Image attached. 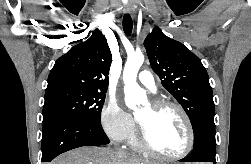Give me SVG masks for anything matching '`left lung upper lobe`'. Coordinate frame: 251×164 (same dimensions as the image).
Wrapping results in <instances>:
<instances>
[{
	"instance_id": "left-lung-upper-lobe-1",
	"label": "left lung upper lobe",
	"mask_w": 251,
	"mask_h": 164,
	"mask_svg": "<svg viewBox=\"0 0 251 164\" xmlns=\"http://www.w3.org/2000/svg\"><path fill=\"white\" fill-rule=\"evenodd\" d=\"M153 71L163 87L182 105L194 136L202 130L215 132L212 88L200 59L182 43L156 27L144 41Z\"/></svg>"
}]
</instances>
